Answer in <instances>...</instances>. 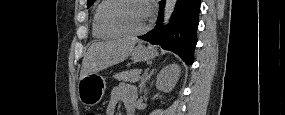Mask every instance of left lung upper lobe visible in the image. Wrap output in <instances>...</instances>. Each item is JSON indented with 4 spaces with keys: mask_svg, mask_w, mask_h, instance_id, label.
Listing matches in <instances>:
<instances>
[{
    "mask_svg": "<svg viewBox=\"0 0 285 115\" xmlns=\"http://www.w3.org/2000/svg\"><path fill=\"white\" fill-rule=\"evenodd\" d=\"M95 0H87V7L89 8Z\"/></svg>",
    "mask_w": 285,
    "mask_h": 115,
    "instance_id": "5c2ea615",
    "label": "left lung upper lobe"
}]
</instances>
